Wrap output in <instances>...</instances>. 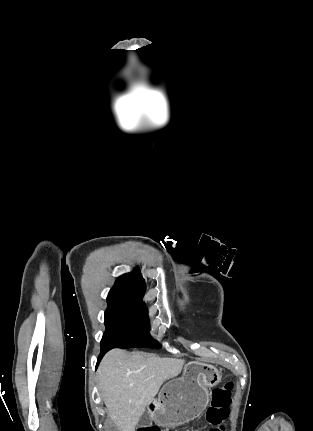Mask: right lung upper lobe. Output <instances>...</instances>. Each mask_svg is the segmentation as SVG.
<instances>
[{
    "mask_svg": "<svg viewBox=\"0 0 313 431\" xmlns=\"http://www.w3.org/2000/svg\"><path fill=\"white\" fill-rule=\"evenodd\" d=\"M146 289L145 281L138 270L124 274L117 278L108 297L127 299L142 302Z\"/></svg>",
    "mask_w": 313,
    "mask_h": 431,
    "instance_id": "cb5924a9",
    "label": "right lung upper lobe"
}]
</instances>
